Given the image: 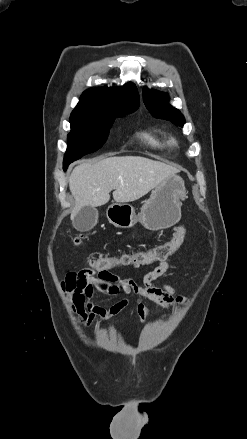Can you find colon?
<instances>
[{"label": "colon", "mask_w": 247, "mask_h": 439, "mask_svg": "<svg viewBox=\"0 0 247 439\" xmlns=\"http://www.w3.org/2000/svg\"><path fill=\"white\" fill-rule=\"evenodd\" d=\"M186 235L185 226H178L173 236L167 242L152 249L124 254L118 257L97 256L87 259L88 268L95 272H104L117 266H142L154 262H162L174 254L184 241ZM86 236L79 234L74 238V245L79 247L85 241Z\"/></svg>", "instance_id": "5ec220e1"}]
</instances>
